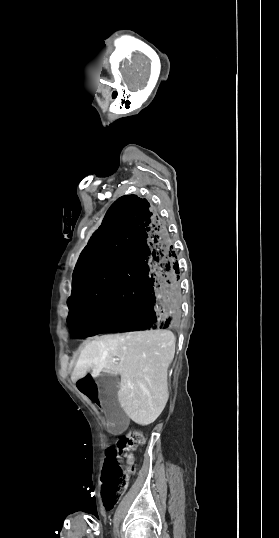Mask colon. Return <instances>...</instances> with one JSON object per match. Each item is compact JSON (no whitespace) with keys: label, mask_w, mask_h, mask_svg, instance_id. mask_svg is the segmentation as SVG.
I'll return each instance as SVG.
<instances>
[{"label":"colon","mask_w":279,"mask_h":538,"mask_svg":"<svg viewBox=\"0 0 279 538\" xmlns=\"http://www.w3.org/2000/svg\"><path fill=\"white\" fill-rule=\"evenodd\" d=\"M143 443V434L138 430H130L117 441L116 447L107 448L102 472V498L106 509L110 510L116 505L134 470L131 466H122L119 459Z\"/></svg>","instance_id":"1"}]
</instances>
